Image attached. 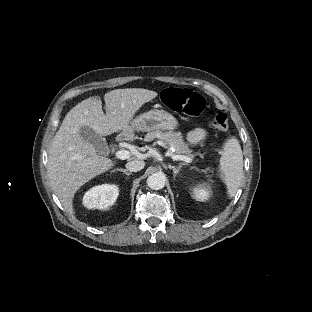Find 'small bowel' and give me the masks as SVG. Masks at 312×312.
<instances>
[{"label":"small bowel","instance_id":"1","mask_svg":"<svg viewBox=\"0 0 312 312\" xmlns=\"http://www.w3.org/2000/svg\"><path fill=\"white\" fill-rule=\"evenodd\" d=\"M206 137V130L202 127H197L190 131L187 135V141L191 145H197Z\"/></svg>","mask_w":312,"mask_h":312}]
</instances>
